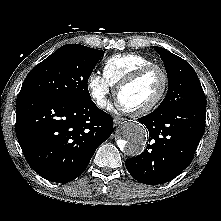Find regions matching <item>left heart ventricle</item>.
<instances>
[{
  "label": "left heart ventricle",
  "instance_id": "obj_1",
  "mask_svg": "<svg viewBox=\"0 0 221 221\" xmlns=\"http://www.w3.org/2000/svg\"><path fill=\"white\" fill-rule=\"evenodd\" d=\"M163 80L159 71L153 70L134 84L126 87L119 95L120 103L128 108L149 104L160 93Z\"/></svg>",
  "mask_w": 221,
  "mask_h": 221
}]
</instances>
